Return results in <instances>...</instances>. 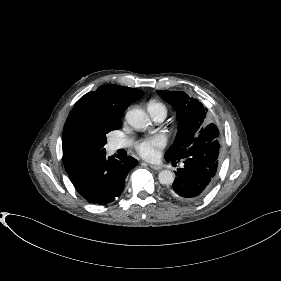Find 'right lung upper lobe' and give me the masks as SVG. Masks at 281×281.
Instances as JSON below:
<instances>
[{
  "instance_id": "obj_1",
  "label": "right lung upper lobe",
  "mask_w": 281,
  "mask_h": 281,
  "mask_svg": "<svg viewBox=\"0 0 281 281\" xmlns=\"http://www.w3.org/2000/svg\"><path fill=\"white\" fill-rule=\"evenodd\" d=\"M144 95L143 91L119 85H103L94 92H89L77 102H91L109 116L122 119L123 112L133 102ZM67 173L73 171L77 166H70L64 163Z\"/></svg>"
}]
</instances>
